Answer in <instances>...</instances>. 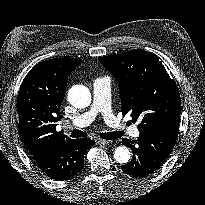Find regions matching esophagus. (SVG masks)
<instances>
[{"label": "esophagus", "mask_w": 205, "mask_h": 205, "mask_svg": "<svg viewBox=\"0 0 205 205\" xmlns=\"http://www.w3.org/2000/svg\"><path fill=\"white\" fill-rule=\"evenodd\" d=\"M98 142L103 144V145H109L110 143H112L111 141L109 140H104V139H98Z\"/></svg>", "instance_id": "obj_1"}]
</instances>
